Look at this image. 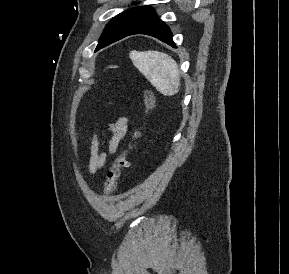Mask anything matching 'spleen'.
<instances>
[{"label":"spleen","instance_id":"spleen-1","mask_svg":"<svg viewBox=\"0 0 289 274\" xmlns=\"http://www.w3.org/2000/svg\"><path fill=\"white\" fill-rule=\"evenodd\" d=\"M134 66L163 95L172 96L179 91L180 72L177 63L169 55L159 51L130 53Z\"/></svg>","mask_w":289,"mask_h":274}]
</instances>
